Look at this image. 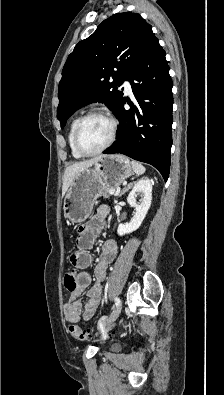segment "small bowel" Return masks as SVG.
<instances>
[{
    "instance_id": "1",
    "label": "small bowel",
    "mask_w": 224,
    "mask_h": 395,
    "mask_svg": "<svg viewBox=\"0 0 224 395\" xmlns=\"http://www.w3.org/2000/svg\"><path fill=\"white\" fill-rule=\"evenodd\" d=\"M107 207H101L96 216L89 219L79 230L77 237L78 250L71 255V263L80 269L88 268L93 257L90 253L97 237L108 217ZM118 251L114 240H106L101 247L100 260L94 268L96 281L91 285L92 277L87 271H81L77 276V286L71 292L69 300L64 304V316L69 322H76L81 317L90 320L96 313L102 299V283L106 277L108 266L113 263ZM88 287V301L82 305L80 296Z\"/></svg>"
}]
</instances>
